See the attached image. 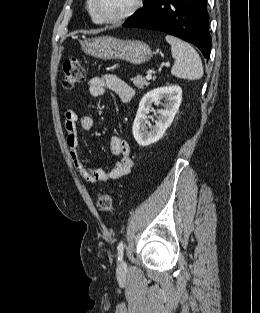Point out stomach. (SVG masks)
Here are the masks:
<instances>
[{
    "label": "stomach",
    "instance_id": "0dacf381",
    "mask_svg": "<svg viewBox=\"0 0 260 313\" xmlns=\"http://www.w3.org/2000/svg\"><path fill=\"white\" fill-rule=\"evenodd\" d=\"M82 50L93 57L110 60L121 59L135 65L152 57L149 45L139 40H121L111 36L88 38L81 41Z\"/></svg>",
    "mask_w": 260,
    "mask_h": 313
}]
</instances>
